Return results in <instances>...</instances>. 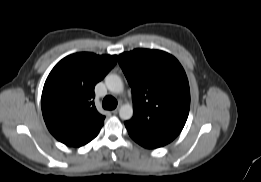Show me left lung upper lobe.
Segmentation results:
<instances>
[{"mask_svg":"<svg viewBox=\"0 0 261 182\" xmlns=\"http://www.w3.org/2000/svg\"><path fill=\"white\" fill-rule=\"evenodd\" d=\"M132 88L134 115L128 131L165 143L183 129L190 109V89L178 60L160 50L135 49L119 55Z\"/></svg>","mask_w":261,"mask_h":182,"instance_id":"1","label":"left lung upper lobe"}]
</instances>
